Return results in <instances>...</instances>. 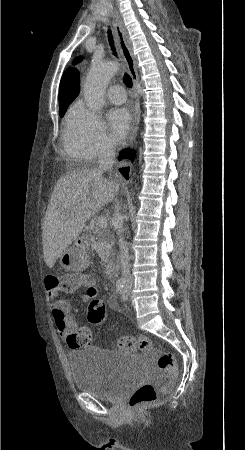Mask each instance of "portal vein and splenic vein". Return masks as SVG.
<instances>
[{
	"label": "portal vein and splenic vein",
	"mask_w": 245,
	"mask_h": 450,
	"mask_svg": "<svg viewBox=\"0 0 245 450\" xmlns=\"http://www.w3.org/2000/svg\"><path fill=\"white\" fill-rule=\"evenodd\" d=\"M96 225L100 229H106L108 226V221L105 217H100V218H98Z\"/></svg>",
	"instance_id": "obj_1"
}]
</instances>
